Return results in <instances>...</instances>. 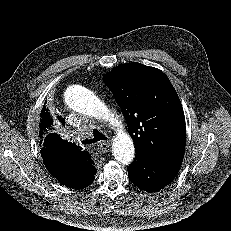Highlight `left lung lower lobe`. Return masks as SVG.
Wrapping results in <instances>:
<instances>
[{
	"instance_id": "left-lung-lower-lobe-1",
	"label": "left lung lower lobe",
	"mask_w": 231,
	"mask_h": 231,
	"mask_svg": "<svg viewBox=\"0 0 231 231\" xmlns=\"http://www.w3.org/2000/svg\"><path fill=\"white\" fill-rule=\"evenodd\" d=\"M182 161H164L137 153L128 167L130 181L147 192H157L170 184L177 175Z\"/></svg>"
}]
</instances>
